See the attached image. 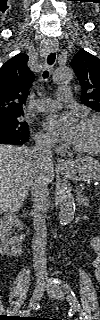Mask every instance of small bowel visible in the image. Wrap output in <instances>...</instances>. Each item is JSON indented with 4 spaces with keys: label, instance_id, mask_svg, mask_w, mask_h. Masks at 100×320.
<instances>
[{
    "label": "small bowel",
    "instance_id": "obj_1",
    "mask_svg": "<svg viewBox=\"0 0 100 320\" xmlns=\"http://www.w3.org/2000/svg\"><path fill=\"white\" fill-rule=\"evenodd\" d=\"M98 247V246H96ZM100 260L98 258H96L94 261H93V268L95 269V273L97 275V277H100Z\"/></svg>",
    "mask_w": 100,
    "mask_h": 320
}]
</instances>
